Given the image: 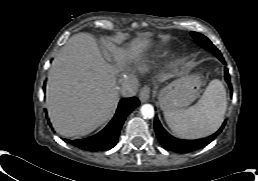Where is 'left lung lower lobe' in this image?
Listing matches in <instances>:
<instances>
[{
	"label": "left lung lower lobe",
	"mask_w": 258,
	"mask_h": 181,
	"mask_svg": "<svg viewBox=\"0 0 258 181\" xmlns=\"http://www.w3.org/2000/svg\"><path fill=\"white\" fill-rule=\"evenodd\" d=\"M220 60L223 63H225L223 58ZM225 80L228 83V85L230 87V91L232 93V86H231L230 77H229L227 68H225ZM225 123H226V121L222 124L221 128L213 135H211L207 138H204L201 140H195V141L180 140V139H176V138L172 137L162 127V125L159 122L157 117H155V120H154V129H155V132H156L159 142L165 149H167L169 151L177 152V153H189V152L195 151L197 149H200V148L208 145L223 130Z\"/></svg>",
	"instance_id": "1"
}]
</instances>
